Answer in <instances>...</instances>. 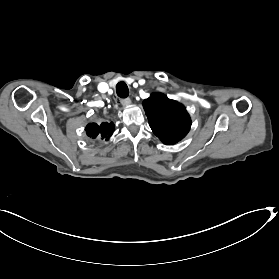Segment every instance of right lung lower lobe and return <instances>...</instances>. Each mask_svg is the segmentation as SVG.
Returning <instances> with one entry per match:
<instances>
[{"label": "right lung lower lobe", "instance_id": "obj_1", "mask_svg": "<svg viewBox=\"0 0 279 279\" xmlns=\"http://www.w3.org/2000/svg\"><path fill=\"white\" fill-rule=\"evenodd\" d=\"M114 131L113 123H102L97 125L96 123H91L86 126V133L92 138L101 136L102 138L108 139Z\"/></svg>", "mask_w": 279, "mask_h": 279}]
</instances>
